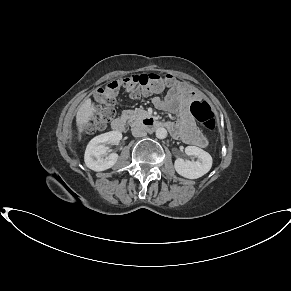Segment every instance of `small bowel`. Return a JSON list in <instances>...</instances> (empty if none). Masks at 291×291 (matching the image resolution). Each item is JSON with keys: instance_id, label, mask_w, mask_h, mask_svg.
<instances>
[{"instance_id": "small-bowel-1", "label": "small bowel", "mask_w": 291, "mask_h": 291, "mask_svg": "<svg viewBox=\"0 0 291 291\" xmlns=\"http://www.w3.org/2000/svg\"><path fill=\"white\" fill-rule=\"evenodd\" d=\"M199 94L192 85L184 81H174L164 97H155L154 106L159 110L179 112L180 119L175 122H167L166 126L172 136L183 142L204 148L208 142L195 124L189 111L192 101L199 99Z\"/></svg>"}]
</instances>
